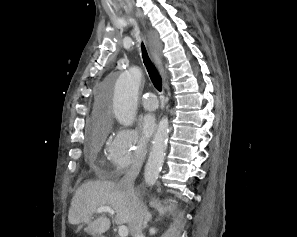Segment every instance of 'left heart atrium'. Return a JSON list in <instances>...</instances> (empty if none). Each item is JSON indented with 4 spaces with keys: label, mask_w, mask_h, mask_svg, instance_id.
<instances>
[{
    "label": "left heart atrium",
    "mask_w": 297,
    "mask_h": 237,
    "mask_svg": "<svg viewBox=\"0 0 297 237\" xmlns=\"http://www.w3.org/2000/svg\"><path fill=\"white\" fill-rule=\"evenodd\" d=\"M156 121L152 114H145L141 118V129L145 137H150L155 131Z\"/></svg>",
    "instance_id": "obj_1"
}]
</instances>
